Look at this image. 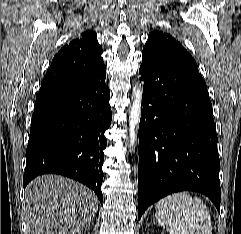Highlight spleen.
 I'll list each match as a JSON object with an SVG mask.
<instances>
[{
	"label": "spleen",
	"mask_w": 241,
	"mask_h": 234,
	"mask_svg": "<svg viewBox=\"0 0 241 234\" xmlns=\"http://www.w3.org/2000/svg\"><path fill=\"white\" fill-rule=\"evenodd\" d=\"M155 217L170 234H212L207 206L188 192L174 193L158 201Z\"/></svg>",
	"instance_id": "3e777b00"
}]
</instances>
